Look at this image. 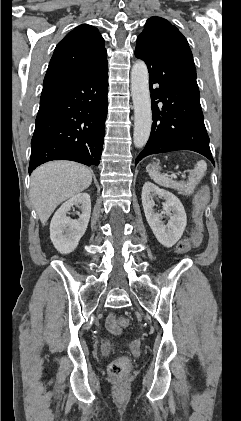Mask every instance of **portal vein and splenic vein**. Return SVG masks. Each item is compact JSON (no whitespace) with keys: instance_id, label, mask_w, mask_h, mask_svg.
I'll use <instances>...</instances> for the list:
<instances>
[{"instance_id":"obj_1","label":"portal vein and splenic vein","mask_w":241,"mask_h":421,"mask_svg":"<svg viewBox=\"0 0 241 421\" xmlns=\"http://www.w3.org/2000/svg\"><path fill=\"white\" fill-rule=\"evenodd\" d=\"M171 178H173V179H177V175L172 174V175H171Z\"/></svg>"}]
</instances>
